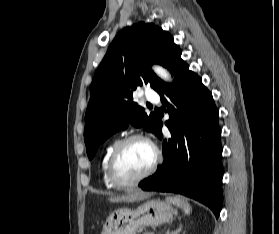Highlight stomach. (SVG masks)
<instances>
[{"label":"stomach","instance_id":"1","mask_svg":"<svg viewBox=\"0 0 279 234\" xmlns=\"http://www.w3.org/2000/svg\"><path fill=\"white\" fill-rule=\"evenodd\" d=\"M175 210L169 202L147 201L137 209H118L111 213L101 234H136L147 226H159L173 218Z\"/></svg>","mask_w":279,"mask_h":234}]
</instances>
